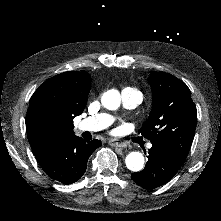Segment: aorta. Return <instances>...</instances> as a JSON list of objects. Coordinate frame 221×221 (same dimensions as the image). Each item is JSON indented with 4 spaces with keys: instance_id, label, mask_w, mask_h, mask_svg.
<instances>
[{
    "instance_id": "aorta-1",
    "label": "aorta",
    "mask_w": 221,
    "mask_h": 221,
    "mask_svg": "<svg viewBox=\"0 0 221 221\" xmlns=\"http://www.w3.org/2000/svg\"><path fill=\"white\" fill-rule=\"evenodd\" d=\"M121 99L118 92L105 94L102 97V104L109 110H115L120 106ZM127 168L133 172H138L144 167V156L138 151L130 152L125 158Z\"/></svg>"
}]
</instances>
